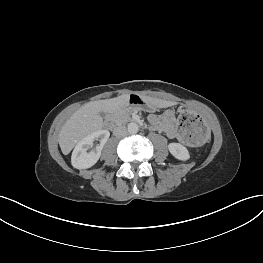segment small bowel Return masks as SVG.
<instances>
[{"instance_id": "1", "label": "small bowel", "mask_w": 263, "mask_h": 263, "mask_svg": "<svg viewBox=\"0 0 263 263\" xmlns=\"http://www.w3.org/2000/svg\"><path fill=\"white\" fill-rule=\"evenodd\" d=\"M174 120L175 117L171 111H166L161 115L151 114L149 116V121L155 129L163 131L171 139L185 142L181 136V132L173 128Z\"/></svg>"}]
</instances>
